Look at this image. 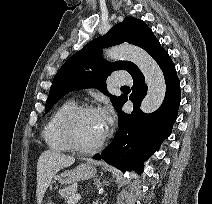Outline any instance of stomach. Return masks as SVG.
Wrapping results in <instances>:
<instances>
[{
    "instance_id": "obj_1",
    "label": "stomach",
    "mask_w": 212,
    "mask_h": 204,
    "mask_svg": "<svg viewBox=\"0 0 212 204\" xmlns=\"http://www.w3.org/2000/svg\"><path fill=\"white\" fill-rule=\"evenodd\" d=\"M96 174V166L93 162H86L79 166H77L75 169L72 170H65L59 175H56V179L61 184H75L76 182L80 180H86L94 177ZM52 204V203H48Z\"/></svg>"
}]
</instances>
